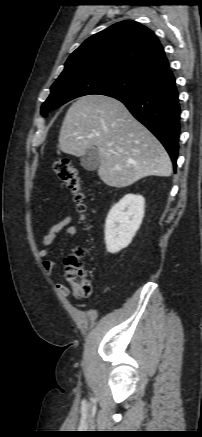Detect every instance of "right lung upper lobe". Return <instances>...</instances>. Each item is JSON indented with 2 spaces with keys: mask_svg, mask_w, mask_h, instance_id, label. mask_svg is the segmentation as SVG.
Here are the masks:
<instances>
[{
  "mask_svg": "<svg viewBox=\"0 0 202 437\" xmlns=\"http://www.w3.org/2000/svg\"><path fill=\"white\" fill-rule=\"evenodd\" d=\"M78 69L113 71L149 82L167 71L169 63L155 34L126 20L88 38L70 55L61 74Z\"/></svg>",
  "mask_w": 202,
  "mask_h": 437,
  "instance_id": "cb5924a9",
  "label": "right lung upper lobe"
}]
</instances>
